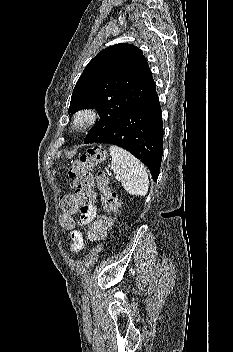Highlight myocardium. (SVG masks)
Segmentation results:
<instances>
[{"instance_id": "f54148a6", "label": "myocardium", "mask_w": 233, "mask_h": 352, "mask_svg": "<svg viewBox=\"0 0 233 352\" xmlns=\"http://www.w3.org/2000/svg\"><path fill=\"white\" fill-rule=\"evenodd\" d=\"M99 118V113L93 108H83L77 111L73 117V126L82 130L93 125Z\"/></svg>"}]
</instances>
